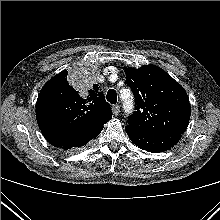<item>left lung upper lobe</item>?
<instances>
[{
  "mask_svg": "<svg viewBox=\"0 0 220 220\" xmlns=\"http://www.w3.org/2000/svg\"><path fill=\"white\" fill-rule=\"evenodd\" d=\"M126 82L135 96L128 126L157 134H182L191 109L186 91L160 67L125 68Z\"/></svg>",
  "mask_w": 220,
  "mask_h": 220,
  "instance_id": "5c2ea615",
  "label": "left lung upper lobe"
}]
</instances>
